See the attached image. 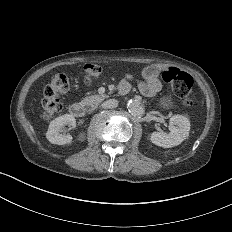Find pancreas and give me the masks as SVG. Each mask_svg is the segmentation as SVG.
Instances as JSON below:
<instances>
[{
    "instance_id": "1",
    "label": "pancreas",
    "mask_w": 232,
    "mask_h": 232,
    "mask_svg": "<svg viewBox=\"0 0 232 232\" xmlns=\"http://www.w3.org/2000/svg\"><path fill=\"white\" fill-rule=\"evenodd\" d=\"M105 95H94L83 99L82 104L89 107L93 111L104 99Z\"/></svg>"
}]
</instances>
